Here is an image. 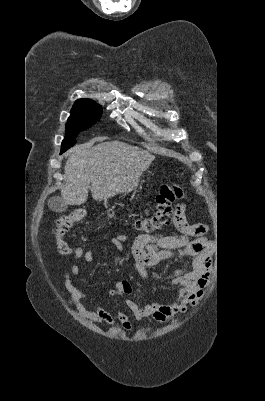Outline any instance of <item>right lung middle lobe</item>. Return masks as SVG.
Returning a JSON list of instances; mask_svg holds the SVG:
<instances>
[{
    "label": "right lung middle lobe",
    "instance_id": "obj_1",
    "mask_svg": "<svg viewBox=\"0 0 265 401\" xmlns=\"http://www.w3.org/2000/svg\"><path fill=\"white\" fill-rule=\"evenodd\" d=\"M71 111L60 153L72 147L76 143L78 133L95 124L102 114V108L98 104L73 106Z\"/></svg>",
    "mask_w": 265,
    "mask_h": 401
}]
</instances>
